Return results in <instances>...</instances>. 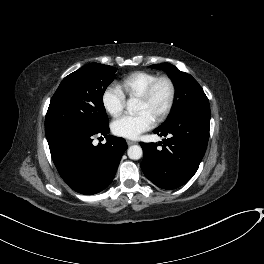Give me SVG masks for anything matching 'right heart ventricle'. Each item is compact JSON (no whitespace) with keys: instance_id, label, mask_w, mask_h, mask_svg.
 Masks as SVG:
<instances>
[{"instance_id":"right-heart-ventricle-1","label":"right heart ventricle","mask_w":264,"mask_h":264,"mask_svg":"<svg viewBox=\"0 0 264 264\" xmlns=\"http://www.w3.org/2000/svg\"><path fill=\"white\" fill-rule=\"evenodd\" d=\"M158 77L148 71H135L125 76L119 83L120 90L130 98L138 97L147 86Z\"/></svg>"}]
</instances>
